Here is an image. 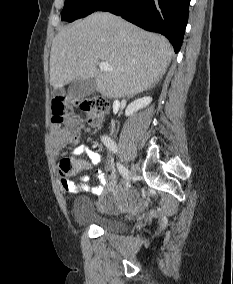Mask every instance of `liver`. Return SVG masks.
I'll return each mask as SVG.
<instances>
[{
    "label": "liver",
    "mask_w": 233,
    "mask_h": 284,
    "mask_svg": "<svg viewBox=\"0 0 233 284\" xmlns=\"http://www.w3.org/2000/svg\"><path fill=\"white\" fill-rule=\"evenodd\" d=\"M173 55L170 42L110 13L97 12L61 29L50 53V84L61 88L92 78L107 98L133 97L153 88ZM107 62L112 71L99 72Z\"/></svg>",
    "instance_id": "liver-1"
}]
</instances>
